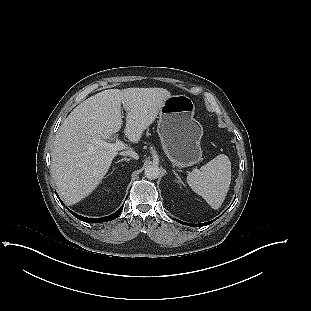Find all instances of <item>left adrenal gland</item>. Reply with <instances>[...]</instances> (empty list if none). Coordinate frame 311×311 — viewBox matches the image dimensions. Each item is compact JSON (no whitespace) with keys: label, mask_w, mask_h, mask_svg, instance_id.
Here are the masks:
<instances>
[{"label":"left adrenal gland","mask_w":311,"mask_h":311,"mask_svg":"<svg viewBox=\"0 0 311 311\" xmlns=\"http://www.w3.org/2000/svg\"><path fill=\"white\" fill-rule=\"evenodd\" d=\"M173 172H174L176 178L178 179V182L182 183V180H181V178L179 177V175H178L175 171H173Z\"/></svg>","instance_id":"1"}]
</instances>
